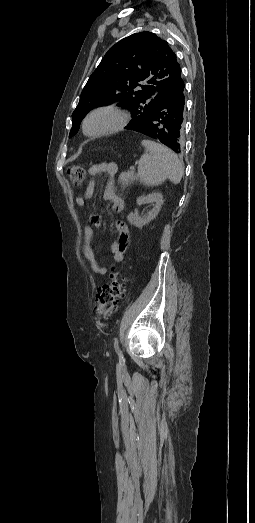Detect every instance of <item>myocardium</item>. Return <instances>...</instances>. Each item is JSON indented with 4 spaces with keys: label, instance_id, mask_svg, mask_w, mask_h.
<instances>
[{
    "label": "myocardium",
    "instance_id": "myocardium-1",
    "mask_svg": "<svg viewBox=\"0 0 255 523\" xmlns=\"http://www.w3.org/2000/svg\"><path fill=\"white\" fill-rule=\"evenodd\" d=\"M98 114H108L115 119V122L110 127L103 130H90L88 125L93 117ZM130 120V113L124 109L115 106H99L90 110L82 120L81 130L86 137L101 138L107 137L123 131Z\"/></svg>",
    "mask_w": 255,
    "mask_h": 523
}]
</instances>
